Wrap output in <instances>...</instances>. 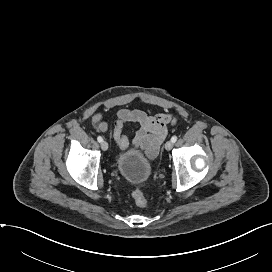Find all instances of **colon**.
Here are the masks:
<instances>
[{
  "label": "colon",
  "mask_w": 272,
  "mask_h": 272,
  "mask_svg": "<svg viewBox=\"0 0 272 272\" xmlns=\"http://www.w3.org/2000/svg\"><path fill=\"white\" fill-rule=\"evenodd\" d=\"M132 197L137 206L145 207L147 205V199L141 190L135 189L132 193Z\"/></svg>",
  "instance_id": "5ec220e1"
}]
</instances>
